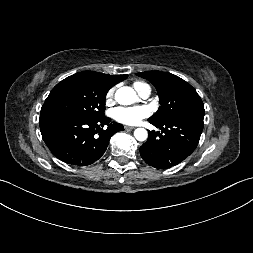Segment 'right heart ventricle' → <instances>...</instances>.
Returning a JSON list of instances; mask_svg holds the SVG:
<instances>
[{
  "label": "right heart ventricle",
  "mask_w": 253,
  "mask_h": 253,
  "mask_svg": "<svg viewBox=\"0 0 253 253\" xmlns=\"http://www.w3.org/2000/svg\"><path fill=\"white\" fill-rule=\"evenodd\" d=\"M133 87L135 88V90L140 93L142 92L144 89H150L149 85L144 83V82H141V81H135L133 83Z\"/></svg>",
  "instance_id": "obj_1"
}]
</instances>
